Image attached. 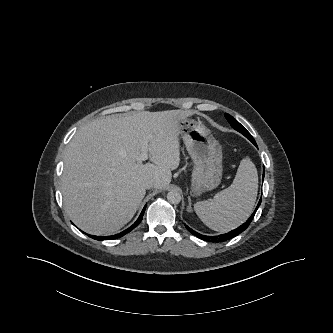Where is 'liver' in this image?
I'll return each mask as SVG.
<instances>
[{"label":"liver","instance_id":"1","mask_svg":"<svg viewBox=\"0 0 333 333\" xmlns=\"http://www.w3.org/2000/svg\"><path fill=\"white\" fill-rule=\"evenodd\" d=\"M183 110L110 115L81 127L67 146L61 189L65 210L83 231L110 235L127 224L146 194L145 183L169 185L180 164ZM148 142L152 163L140 160Z\"/></svg>","mask_w":333,"mask_h":333}]
</instances>
